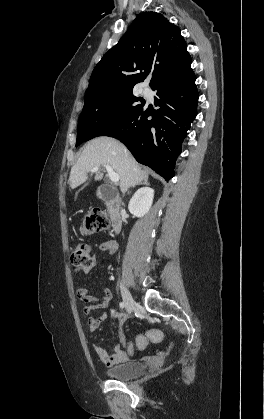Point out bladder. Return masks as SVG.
I'll use <instances>...</instances> for the list:
<instances>
[{
  "instance_id": "bladder-1",
  "label": "bladder",
  "mask_w": 264,
  "mask_h": 419,
  "mask_svg": "<svg viewBox=\"0 0 264 419\" xmlns=\"http://www.w3.org/2000/svg\"><path fill=\"white\" fill-rule=\"evenodd\" d=\"M146 365L137 360H130L106 370V375L115 380H129L144 373Z\"/></svg>"
}]
</instances>
